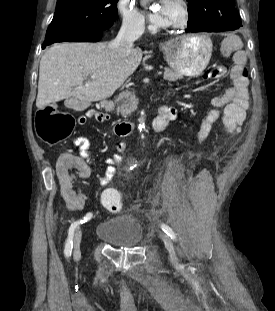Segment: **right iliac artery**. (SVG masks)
Masks as SVG:
<instances>
[{"mask_svg":"<svg viewBox=\"0 0 275 311\" xmlns=\"http://www.w3.org/2000/svg\"><path fill=\"white\" fill-rule=\"evenodd\" d=\"M136 166L133 165L130 167V170H132L134 167ZM92 217V214L91 213H87L83 219H80L74 223L71 224V226L69 227V230H68V238L66 240V244H65V249H64V254L65 256L68 258L71 256V253H72V248H73V237H74V232L76 230V228L80 225V224H83L85 222H87L88 220H90Z\"/></svg>","mask_w":275,"mask_h":311,"instance_id":"right-iliac-artery-1","label":"right iliac artery"}]
</instances>
